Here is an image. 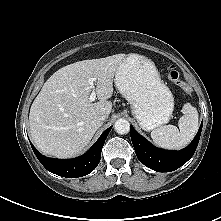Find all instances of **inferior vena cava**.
<instances>
[{"label":"inferior vena cava","instance_id":"obj_1","mask_svg":"<svg viewBox=\"0 0 221 221\" xmlns=\"http://www.w3.org/2000/svg\"><path fill=\"white\" fill-rule=\"evenodd\" d=\"M98 122H101L103 124V122L106 120V116L105 115H99L97 118Z\"/></svg>","mask_w":221,"mask_h":221}]
</instances>
